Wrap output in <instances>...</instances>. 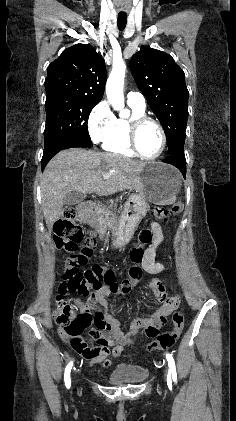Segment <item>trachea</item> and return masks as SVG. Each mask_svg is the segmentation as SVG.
<instances>
[{"mask_svg":"<svg viewBox=\"0 0 236 421\" xmlns=\"http://www.w3.org/2000/svg\"><path fill=\"white\" fill-rule=\"evenodd\" d=\"M117 24L120 31L124 30L127 24V16L126 15H118L117 17Z\"/></svg>","mask_w":236,"mask_h":421,"instance_id":"obj_1","label":"trachea"}]
</instances>
